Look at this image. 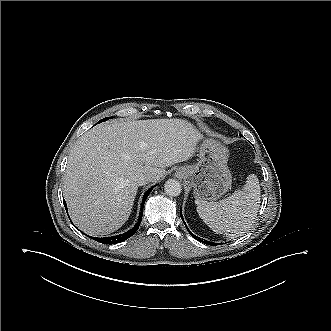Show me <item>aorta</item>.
I'll use <instances>...</instances> for the list:
<instances>
[{"label": "aorta", "instance_id": "obj_1", "mask_svg": "<svg viewBox=\"0 0 331 331\" xmlns=\"http://www.w3.org/2000/svg\"><path fill=\"white\" fill-rule=\"evenodd\" d=\"M164 190L168 196L176 197L181 194L182 186L179 181L175 179H169L164 184Z\"/></svg>", "mask_w": 331, "mask_h": 331}]
</instances>
